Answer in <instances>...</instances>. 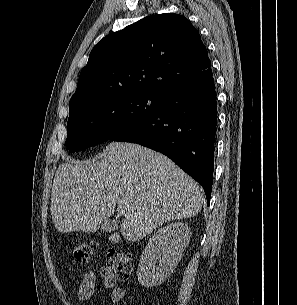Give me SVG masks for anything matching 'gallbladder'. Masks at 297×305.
<instances>
[{"instance_id":"obj_1","label":"gallbladder","mask_w":297,"mask_h":305,"mask_svg":"<svg viewBox=\"0 0 297 305\" xmlns=\"http://www.w3.org/2000/svg\"><path fill=\"white\" fill-rule=\"evenodd\" d=\"M101 231H114L116 229H118V222L114 221V220H108L106 222H104L103 224H101L100 226Z\"/></svg>"}]
</instances>
